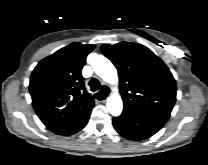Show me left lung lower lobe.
<instances>
[{"mask_svg": "<svg viewBox=\"0 0 208 165\" xmlns=\"http://www.w3.org/2000/svg\"><path fill=\"white\" fill-rule=\"evenodd\" d=\"M166 121L163 118L123 111L119 117L113 118V127L124 138L143 140L158 132Z\"/></svg>", "mask_w": 208, "mask_h": 165, "instance_id": "obj_1", "label": "left lung lower lobe"}]
</instances>
